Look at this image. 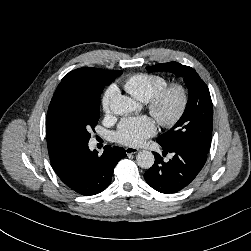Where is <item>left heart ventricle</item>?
I'll use <instances>...</instances> for the list:
<instances>
[{
	"mask_svg": "<svg viewBox=\"0 0 251 251\" xmlns=\"http://www.w3.org/2000/svg\"><path fill=\"white\" fill-rule=\"evenodd\" d=\"M176 106H177V97L173 96L169 98L164 107L165 114L172 113L175 110Z\"/></svg>",
	"mask_w": 251,
	"mask_h": 251,
	"instance_id": "1",
	"label": "left heart ventricle"
}]
</instances>
